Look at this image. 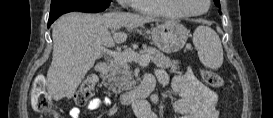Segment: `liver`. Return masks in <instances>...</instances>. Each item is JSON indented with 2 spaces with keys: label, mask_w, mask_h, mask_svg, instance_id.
Segmentation results:
<instances>
[{
  "label": "liver",
  "mask_w": 273,
  "mask_h": 118,
  "mask_svg": "<svg viewBox=\"0 0 273 118\" xmlns=\"http://www.w3.org/2000/svg\"><path fill=\"white\" fill-rule=\"evenodd\" d=\"M152 21L153 16L123 12L103 15L72 12L61 16L52 31L53 58L47 72L48 93L56 101L72 98L86 73L101 58L94 46H114L127 39L121 32L111 36L109 29H133Z\"/></svg>",
  "instance_id": "obj_1"
}]
</instances>
